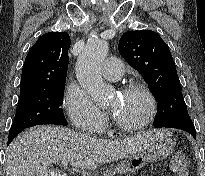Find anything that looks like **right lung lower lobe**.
Returning <instances> with one entry per match:
<instances>
[{"instance_id": "right-lung-lower-lobe-1", "label": "right lung lower lobe", "mask_w": 205, "mask_h": 176, "mask_svg": "<svg viewBox=\"0 0 205 176\" xmlns=\"http://www.w3.org/2000/svg\"><path fill=\"white\" fill-rule=\"evenodd\" d=\"M14 138H8V145L11 143V141L13 140Z\"/></svg>"}]
</instances>
